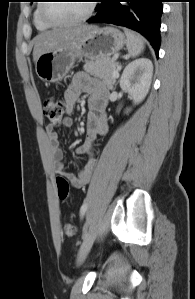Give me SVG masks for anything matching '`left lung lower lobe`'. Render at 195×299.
Here are the masks:
<instances>
[{
    "label": "left lung lower lobe",
    "mask_w": 195,
    "mask_h": 299,
    "mask_svg": "<svg viewBox=\"0 0 195 299\" xmlns=\"http://www.w3.org/2000/svg\"><path fill=\"white\" fill-rule=\"evenodd\" d=\"M99 11L88 23H112L141 33L158 55L164 0H100Z\"/></svg>",
    "instance_id": "obj_1"
}]
</instances>
